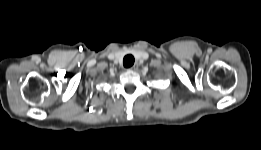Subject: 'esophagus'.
Listing matches in <instances>:
<instances>
[{"label": "esophagus", "mask_w": 261, "mask_h": 150, "mask_svg": "<svg viewBox=\"0 0 261 150\" xmlns=\"http://www.w3.org/2000/svg\"><path fill=\"white\" fill-rule=\"evenodd\" d=\"M136 69H137V65H135V64L129 68V70H131V71L136 70Z\"/></svg>", "instance_id": "34e87169"}]
</instances>
